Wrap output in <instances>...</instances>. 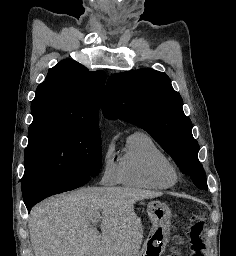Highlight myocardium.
Listing matches in <instances>:
<instances>
[{
    "mask_svg": "<svg viewBox=\"0 0 236 256\" xmlns=\"http://www.w3.org/2000/svg\"><path fill=\"white\" fill-rule=\"evenodd\" d=\"M161 174L164 177H167V178H170V179L176 181V179L180 175V172H179L178 167L171 162V163H168V164L162 166Z\"/></svg>",
    "mask_w": 236,
    "mask_h": 256,
    "instance_id": "f54148a6",
    "label": "myocardium"
}]
</instances>
